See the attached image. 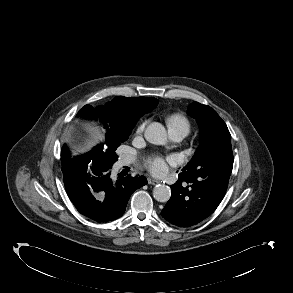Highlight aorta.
I'll use <instances>...</instances> for the list:
<instances>
[{
    "instance_id": "1",
    "label": "aorta",
    "mask_w": 293,
    "mask_h": 293,
    "mask_svg": "<svg viewBox=\"0 0 293 293\" xmlns=\"http://www.w3.org/2000/svg\"><path fill=\"white\" fill-rule=\"evenodd\" d=\"M144 135L148 142L155 145H164L167 141L166 129L158 122L149 124ZM153 196L158 202H167L171 197V190L166 185H157L153 189Z\"/></svg>"
}]
</instances>
